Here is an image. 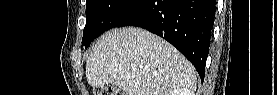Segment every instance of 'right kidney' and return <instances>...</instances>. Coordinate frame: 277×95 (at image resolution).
I'll list each match as a JSON object with an SVG mask.
<instances>
[{
	"instance_id": "right-kidney-1",
	"label": "right kidney",
	"mask_w": 277,
	"mask_h": 95,
	"mask_svg": "<svg viewBox=\"0 0 277 95\" xmlns=\"http://www.w3.org/2000/svg\"><path fill=\"white\" fill-rule=\"evenodd\" d=\"M186 93H182V91L175 90L171 93V95H185Z\"/></svg>"
}]
</instances>
